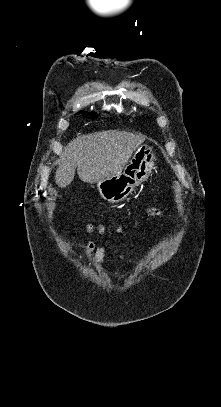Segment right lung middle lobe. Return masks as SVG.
I'll use <instances>...</instances> for the list:
<instances>
[{
  "label": "right lung middle lobe",
  "mask_w": 221,
  "mask_h": 407,
  "mask_svg": "<svg viewBox=\"0 0 221 407\" xmlns=\"http://www.w3.org/2000/svg\"><path fill=\"white\" fill-rule=\"evenodd\" d=\"M78 113H82V114H84V115H86V116H91V117H95V116H96V113H94V112L89 113V112H85V111H80V112H78Z\"/></svg>",
  "instance_id": "obj_1"
}]
</instances>
